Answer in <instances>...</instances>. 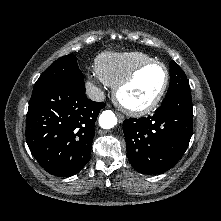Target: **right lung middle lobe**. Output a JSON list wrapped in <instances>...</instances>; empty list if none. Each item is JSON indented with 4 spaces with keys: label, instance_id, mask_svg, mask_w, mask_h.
Listing matches in <instances>:
<instances>
[{
    "label": "right lung middle lobe",
    "instance_id": "right-lung-middle-lobe-1",
    "mask_svg": "<svg viewBox=\"0 0 221 221\" xmlns=\"http://www.w3.org/2000/svg\"><path fill=\"white\" fill-rule=\"evenodd\" d=\"M76 61V56L67 55L53 62L35 83L31 99L60 83H71L79 87H85L83 74L79 70Z\"/></svg>",
    "mask_w": 221,
    "mask_h": 221
}]
</instances>
